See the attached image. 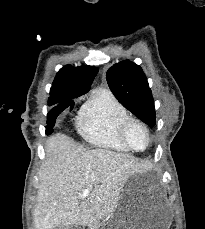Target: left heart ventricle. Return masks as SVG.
Here are the masks:
<instances>
[{
    "label": "left heart ventricle",
    "mask_w": 205,
    "mask_h": 229,
    "mask_svg": "<svg viewBox=\"0 0 205 229\" xmlns=\"http://www.w3.org/2000/svg\"><path fill=\"white\" fill-rule=\"evenodd\" d=\"M128 139L131 145L137 149L145 147L147 138L144 130L139 125H132L128 131Z\"/></svg>",
    "instance_id": "b2bd125f"
}]
</instances>
